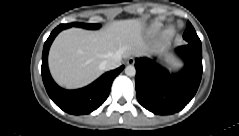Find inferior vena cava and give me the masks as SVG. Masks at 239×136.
I'll list each match as a JSON object with an SVG mask.
<instances>
[{
  "instance_id": "inferior-vena-cava-1",
  "label": "inferior vena cava",
  "mask_w": 239,
  "mask_h": 136,
  "mask_svg": "<svg viewBox=\"0 0 239 136\" xmlns=\"http://www.w3.org/2000/svg\"><path fill=\"white\" fill-rule=\"evenodd\" d=\"M121 60L122 58L120 56H115V57H112L108 60H106L104 63H103V68L105 70H113V69H116L118 68L120 65H121Z\"/></svg>"
}]
</instances>
